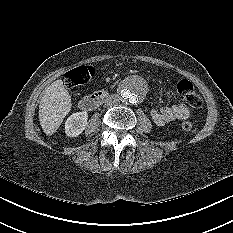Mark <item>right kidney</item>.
Segmentation results:
<instances>
[{"instance_id": "1", "label": "right kidney", "mask_w": 233, "mask_h": 233, "mask_svg": "<svg viewBox=\"0 0 233 233\" xmlns=\"http://www.w3.org/2000/svg\"><path fill=\"white\" fill-rule=\"evenodd\" d=\"M88 114L86 111L73 113L65 122V133L69 137L80 135L87 126Z\"/></svg>"}]
</instances>
